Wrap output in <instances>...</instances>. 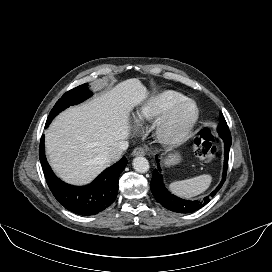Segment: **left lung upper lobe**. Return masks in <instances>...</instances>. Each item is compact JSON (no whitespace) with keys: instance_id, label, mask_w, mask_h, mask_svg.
<instances>
[{"instance_id":"5c2ea615","label":"left lung upper lobe","mask_w":272,"mask_h":272,"mask_svg":"<svg viewBox=\"0 0 272 272\" xmlns=\"http://www.w3.org/2000/svg\"><path fill=\"white\" fill-rule=\"evenodd\" d=\"M218 133L222 139L231 138V134L223 114H220V123L218 125Z\"/></svg>"}]
</instances>
